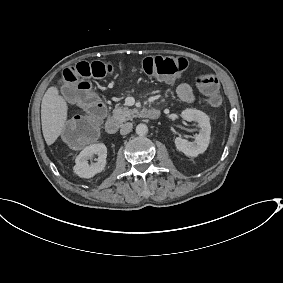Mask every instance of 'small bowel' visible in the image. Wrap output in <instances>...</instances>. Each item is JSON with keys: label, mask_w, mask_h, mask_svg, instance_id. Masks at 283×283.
Listing matches in <instances>:
<instances>
[{"label": "small bowel", "mask_w": 283, "mask_h": 283, "mask_svg": "<svg viewBox=\"0 0 283 283\" xmlns=\"http://www.w3.org/2000/svg\"><path fill=\"white\" fill-rule=\"evenodd\" d=\"M176 93L178 97L184 102L191 103L195 100V92L189 84H179L176 88Z\"/></svg>", "instance_id": "c3829d8e"}]
</instances>
